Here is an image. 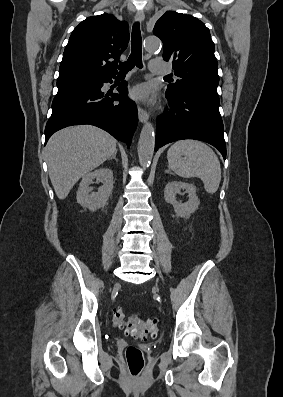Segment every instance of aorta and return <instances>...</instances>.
Instances as JSON below:
<instances>
[{
	"label": "aorta",
	"instance_id": "aorta-1",
	"mask_svg": "<svg viewBox=\"0 0 283 397\" xmlns=\"http://www.w3.org/2000/svg\"><path fill=\"white\" fill-rule=\"evenodd\" d=\"M146 51H157L161 47V41L156 37H148L144 42ZM155 147V131L151 122H146L140 133L138 141V156L141 166L146 167L150 164Z\"/></svg>",
	"mask_w": 283,
	"mask_h": 397
}]
</instances>
